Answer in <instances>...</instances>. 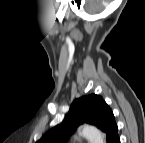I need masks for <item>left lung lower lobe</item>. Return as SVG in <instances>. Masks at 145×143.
Returning <instances> with one entry per match:
<instances>
[{
    "label": "left lung lower lobe",
    "instance_id": "0a47b994",
    "mask_svg": "<svg viewBox=\"0 0 145 143\" xmlns=\"http://www.w3.org/2000/svg\"><path fill=\"white\" fill-rule=\"evenodd\" d=\"M111 143H120L119 136H117Z\"/></svg>",
    "mask_w": 145,
    "mask_h": 143
}]
</instances>
